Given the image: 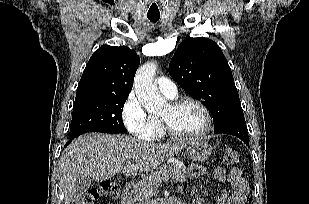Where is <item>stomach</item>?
I'll use <instances>...</instances> for the list:
<instances>
[{"label": "stomach", "mask_w": 309, "mask_h": 204, "mask_svg": "<svg viewBox=\"0 0 309 204\" xmlns=\"http://www.w3.org/2000/svg\"><path fill=\"white\" fill-rule=\"evenodd\" d=\"M188 157L195 162L206 161L212 153V147L203 139H194L188 143Z\"/></svg>", "instance_id": "stomach-1"}]
</instances>
